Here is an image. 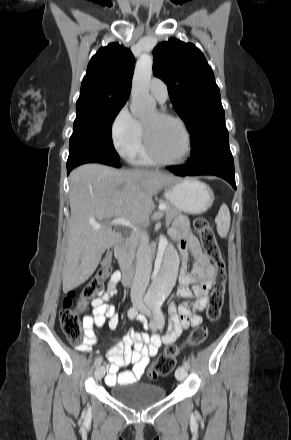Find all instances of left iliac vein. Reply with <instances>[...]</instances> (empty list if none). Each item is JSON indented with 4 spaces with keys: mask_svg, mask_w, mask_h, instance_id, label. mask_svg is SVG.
<instances>
[{
    "mask_svg": "<svg viewBox=\"0 0 291 440\" xmlns=\"http://www.w3.org/2000/svg\"><path fill=\"white\" fill-rule=\"evenodd\" d=\"M139 311L146 316H151L152 314L151 311L145 306L139 307ZM187 374H188L187 368H185L184 366H180L176 369L175 377L177 380L183 381L187 377Z\"/></svg>",
    "mask_w": 291,
    "mask_h": 440,
    "instance_id": "obj_1",
    "label": "left iliac vein"
}]
</instances>
